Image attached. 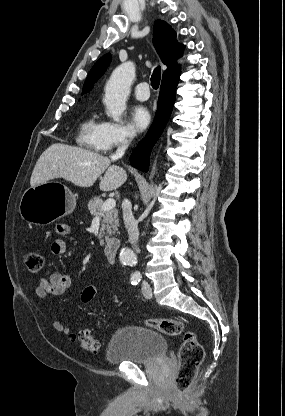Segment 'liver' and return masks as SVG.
I'll use <instances>...</instances> for the list:
<instances>
[{
  "mask_svg": "<svg viewBox=\"0 0 285 416\" xmlns=\"http://www.w3.org/2000/svg\"><path fill=\"white\" fill-rule=\"evenodd\" d=\"M110 164L108 158L90 150L65 146V144H52L37 160L30 186L35 188L55 178H63L80 188H90L105 172L99 188L102 192H112L126 182L127 174L123 168Z\"/></svg>",
  "mask_w": 285,
  "mask_h": 416,
  "instance_id": "liver-1",
  "label": "liver"
}]
</instances>
